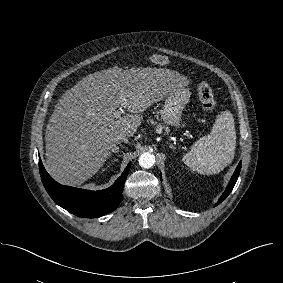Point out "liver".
I'll return each mask as SVG.
<instances>
[{
	"instance_id": "6515ba94",
	"label": "liver",
	"mask_w": 283,
	"mask_h": 283,
	"mask_svg": "<svg viewBox=\"0 0 283 283\" xmlns=\"http://www.w3.org/2000/svg\"><path fill=\"white\" fill-rule=\"evenodd\" d=\"M184 76L161 68H109L67 90L46 127V170L57 181L80 185L102 167L118 134L132 137L144 112L186 85ZM122 107L133 114L115 118Z\"/></svg>"
}]
</instances>
